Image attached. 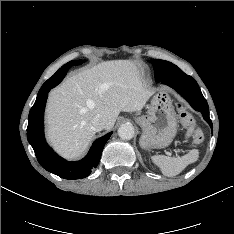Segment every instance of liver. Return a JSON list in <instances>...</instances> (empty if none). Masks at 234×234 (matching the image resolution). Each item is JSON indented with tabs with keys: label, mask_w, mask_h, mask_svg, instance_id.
I'll return each mask as SVG.
<instances>
[{
	"label": "liver",
	"mask_w": 234,
	"mask_h": 234,
	"mask_svg": "<svg viewBox=\"0 0 234 234\" xmlns=\"http://www.w3.org/2000/svg\"><path fill=\"white\" fill-rule=\"evenodd\" d=\"M152 94L130 61H107L83 70L49 94L48 140L63 157L77 158L95 135L91 122L96 115L110 130L121 111H140Z\"/></svg>",
	"instance_id": "6515ba94"
}]
</instances>
